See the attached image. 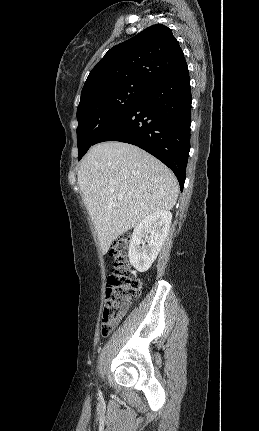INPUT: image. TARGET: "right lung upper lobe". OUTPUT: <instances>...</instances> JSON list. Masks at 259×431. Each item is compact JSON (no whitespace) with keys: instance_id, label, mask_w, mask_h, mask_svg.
<instances>
[{"instance_id":"obj_1","label":"right lung upper lobe","mask_w":259,"mask_h":431,"mask_svg":"<svg viewBox=\"0 0 259 431\" xmlns=\"http://www.w3.org/2000/svg\"><path fill=\"white\" fill-rule=\"evenodd\" d=\"M185 69L183 51L171 29L162 24L152 25L105 54L90 72L80 102L123 86L149 89Z\"/></svg>"}]
</instances>
